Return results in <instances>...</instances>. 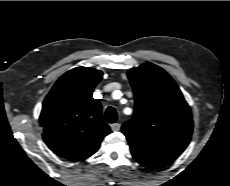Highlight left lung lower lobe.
Wrapping results in <instances>:
<instances>
[{
	"instance_id": "0a47b994",
	"label": "left lung lower lobe",
	"mask_w": 230,
	"mask_h": 186,
	"mask_svg": "<svg viewBox=\"0 0 230 186\" xmlns=\"http://www.w3.org/2000/svg\"><path fill=\"white\" fill-rule=\"evenodd\" d=\"M133 157L135 158L137 162H139L141 165L147 168H158V167H162L168 164L166 162L146 159V158L138 157L136 155H133Z\"/></svg>"
}]
</instances>
